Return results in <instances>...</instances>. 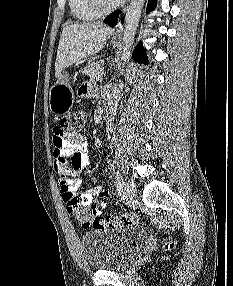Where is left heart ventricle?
Returning <instances> with one entry per match:
<instances>
[{"label": "left heart ventricle", "mask_w": 233, "mask_h": 286, "mask_svg": "<svg viewBox=\"0 0 233 286\" xmlns=\"http://www.w3.org/2000/svg\"><path fill=\"white\" fill-rule=\"evenodd\" d=\"M102 1L105 5H111V4L115 3L114 0H102Z\"/></svg>", "instance_id": "left-heart-ventricle-1"}]
</instances>
